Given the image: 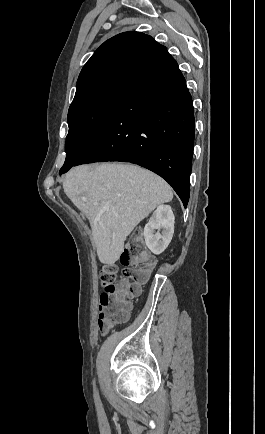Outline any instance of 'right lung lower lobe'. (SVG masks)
Returning a JSON list of instances; mask_svg holds the SVG:
<instances>
[{"label":"right lung lower lobe","instance_id":"obj_1","mask_svg":"<svg viewBox=\"0 0 265 434\" xmlns=\"http://www.w3.org/2000/svg\"><path fill=\"white\" fill-rule=\"evenodd\" d=\"M194 135L192 97L177 62L166 51L133 77L104 129L74 166L138 164L164 178L186 207Z\"/></svg>","mask_w":265,"mask_h":434}]
</instances>
